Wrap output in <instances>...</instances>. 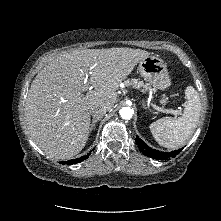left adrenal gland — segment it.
<instances>
[{"mask_svg":"<svg viewBox=\"0 0 221 221\" xmlns=\"http://www.w3.org/2000/svg\"><path fill=\"white\" fill-rule=\"evenodd\" d=\"M143 107L146 108L145 105H144V102H143Z\"/></svg>","mask_w":221,"mask_h":221,"instance_id":"1","label":"left adrenal gland"}]
</instances>
